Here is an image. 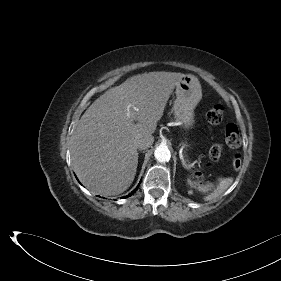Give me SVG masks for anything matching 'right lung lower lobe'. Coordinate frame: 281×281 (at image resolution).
<instances>
[{"instance_id":"1","label":"right lung lower lobe","mask_w":281,"mask_h":281,"mask_svg":"<svg viewBox=\"0 0 281 281\" xmlns=\"http://www.w3.org/2000/svg\"><path fill=\"white\" fill-rule=\"evenodd\" d=\"M136 189L134 191H132L127 197L133 195L135 193Z\"/></svg>"}]
</instances>
